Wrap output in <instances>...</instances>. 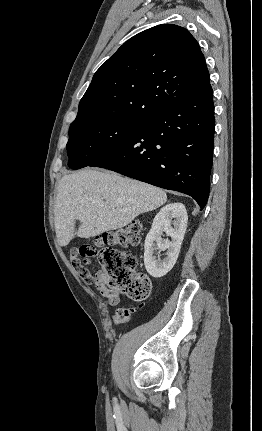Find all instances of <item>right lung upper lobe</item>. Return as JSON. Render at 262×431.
I'll return each instance as SVG.
<instances>
[{
    "label": "right lung upper lobe",
    "instance_id": "obj_1",
    "mask_svg": "<svg viewBox=\"0 0 262 431\" xmlns=\"http://www.w3.org/2000/svg\"><path fill=\"white\" fill-rule=\"evenodd\" d=\"M210 85L199 44L183 27L162 24L126 41L94 74L71 125L134 118L188 100Z\"/></svg>",
    "mask_w": 262,
    "mask_h": 431
}]
</instances>
